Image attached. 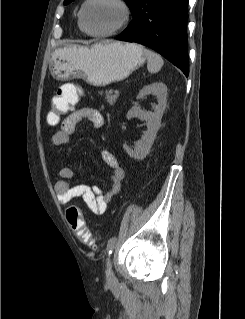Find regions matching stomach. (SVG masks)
Segmentation results:
<instances>
[{"mask_svg": "<svg viewBox=\"0 0 245 319\" xmlns=\"http://www.w3.org/2000/svg\"><path fill=\"white\" fill-rule=\"evenodd\" d=\"M144 62L143 47L135 43L71 44L53 52L49 70L57 80L83 78L94 86H105L125 79Z\"/></svg>", "mask_w": 245, "mask_h": 319, "instance_id": "1", "label": "stomach"}]
</instances>
